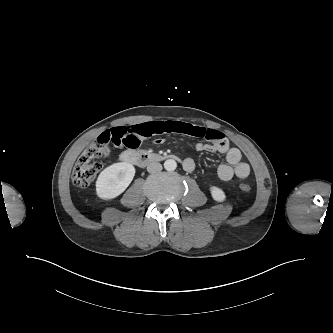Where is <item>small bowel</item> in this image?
I'll list each match as a JSON object with an SVG mask.
<instances>
[{
	"label": "small bowel",
	"instance_id": "c3829d8e",
	"mask_svg": "<svg viewBox=\"0 0 333 333\" xmlns=\"http://www.w3.org/2000/svg\"><path fill=\"white\" fill-rule=\"evenodd\" d=\"M177 133L198 138H204L207 142H198L195 149L199 152H211L223 154L226 163L217 168V174L223 181H229L234 177L246 178L250 173V166L242 161L241 152L229 144L227 138L218 130L206 129L181 121H151L131 125L127 127H114L101 133L98 139L111 142L118 148H137L142 141L156 135ZM163 140L157 138L154 144L160 145ZM185 170L191 172L195 169L192 158L184 160Z\"/></svg>",
	"mask_w": 333,
	"mask_h": 333
}]
</instances>
